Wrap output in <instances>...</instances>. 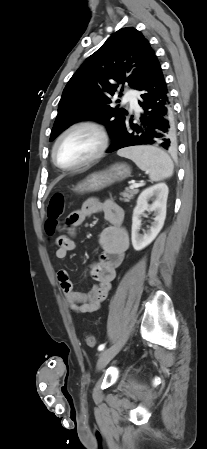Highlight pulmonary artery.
I'll list each match as a JSON object with an SVG mask.
<instances>
[{
    "label": "pulmonary artery",
    "instance_id": "1",
    "mask_svg": "<svg viewBox=\"0 0 207 449\" xmlns=\"http://www.w3.org/2000/svg\"><path fill=\"white\" fill-rule=\"evenodd\" d=\"M124 100L126 102H129L131 108L137 110L138 107V103H137V98H136V91L133 89H130L126 92L125 96H124Z\"/></svg>",
    "mask_w": 207,
    "mask_h": 449
}]
</instances>
